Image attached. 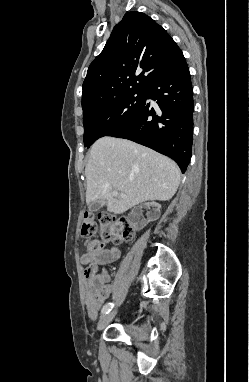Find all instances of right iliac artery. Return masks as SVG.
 I'll use <instances>...</instances> for the list:
<instances>
[{"instance_id":"82829eb1","label":"right iliac artery","mask_w":249,"mask_h":382,"mask_svg":"<svg viewBox=\"0 0 249 382\" xmlns=\"http://www.w3.org/2000/svg\"><path fill=\"white\" fill-rule=\"evenodd\" d=\"M113 307H114V303L109 302V303H107V304H105V305L103 306L101 313H102L103 315H104V314H108V313L112 310Z\"/></svg>"}]
</instances>
